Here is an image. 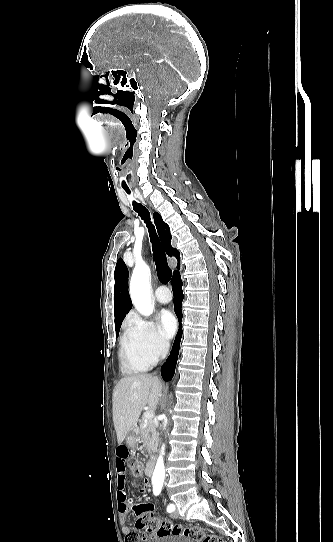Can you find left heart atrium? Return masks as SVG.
Listing matches in <instances>:
<instances>
[{
    "instance_id": "obj_1",
    "label": "left heart atrium",
    "mask_w": 333,
    "mask_h": 542,
    "mask_svg": "<svg viewBox=\"0 0 333 542\" xmlns=\"http://www.w3.org/2000/svg\"><path fill=\"white\" fill-rule=\"evenodd\" d=\"M161 324H162V327H163L165 333L169 337L173 336V334L176 331L177 321H176V318L174 317V315L171 312L166 311V312L162 313V315H161Z\"/></svg>"
}]
</instances>
